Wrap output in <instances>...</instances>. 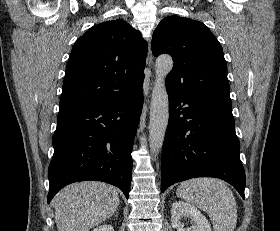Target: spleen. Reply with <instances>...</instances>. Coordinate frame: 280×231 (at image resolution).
Returning a JSON list of instances; mask_svg holds the SVG:
<instances>
[{"instance_id":"obj_1","label":"spleen","mask_w":280,"mask_h":231,"mask_svg":"<svg viewBox=\"0 0 280 231\" xmlns=\"http://www.w3.org/2000/svg\"><path fill=\"white\" fill-rule=\"evenodd\" d=\"M176 193L181 199L206 211L211 217L214 231H234L237 205L231 189L222 179L194 177L182 181Z\"/></svg>"}]
</instances>
